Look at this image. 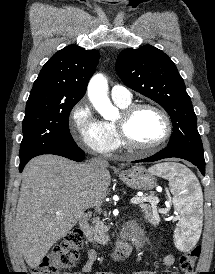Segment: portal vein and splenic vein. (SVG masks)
<instances>
[{
    "instance_id": "18ae733b",
    "label": "portal vein and splenic vein",
    "mask_w": 215,
    "mask_h": 274,
    "mask_svg": "<svg viewBox=\"0 0 215 274\" xmlns=\"http://www.w3.org/2000/svg\"><path fill=\"white\" fill-rule=\"evenodd\" d=\"M156 197H133L131 199V203L132 204H139V203H143V202H147V201H154Z\"/></svg>"
}]
</instances>
